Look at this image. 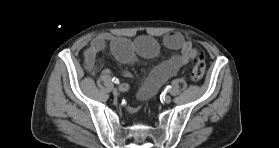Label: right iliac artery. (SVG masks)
Returning a JSON list of instances; mask_svg holds the SVG:
<instances>
[{
  "label": "right iliac artery",
  "mask_w": 279,
  "mask_h": 148,
  "mask_svg": "<svg viewBox=\"0 0 279 148\" xmlns=\"http://www.w3.org/2000/svg\"><path fill=\"white\" fill-rule=\"evenodd\" d=\"M112 81L115 83V84H119V79L118 78H112ZM125 90H127V87H123V88H121V91H125Z\"/></svg>",
  "instance_id": "1"
}]
</instances>
